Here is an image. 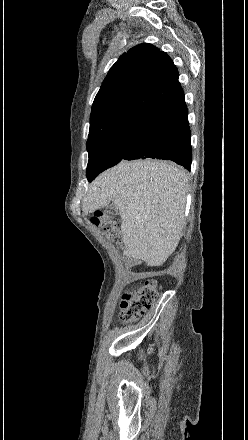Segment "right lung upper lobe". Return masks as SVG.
<instances>
[{
    "label": "right lung upper lobe",
    "mask_w": 248,
    "mask_h": 440,
    "mask_svg": "<svg viewBox=\"0 0 248 440\" xmlns=\"http://www.w3.org/2000/svg\"><path fill=\"white\" fill-rule=\"evenodd\" d=\"M184 97L170 57L148 43L120 56L95 97L87 147Z\"/></svg>",
    "instance_id": "1"
}]
</instances>
